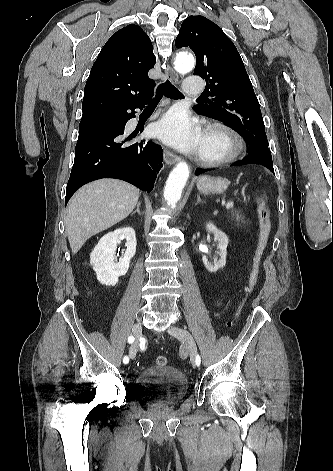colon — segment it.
<instances>
[{
    "instance_id": "obj_1",
    "label": "colon",
    "mask_w": 333,
    "mask_h": 471,
    "mask_svg": "<svg viewBox=\"0 0 333 471\" xmlns=\"http://www.w3.org/2000/svg\"><path fill=\"white\" fill-rule=\"evenodd\" d=\"M257 216L259 221L258 241L252 258V268L249 276L248 286L246 288V294L235 313V318L239 316L244 304L255 290L260 271L261 259L266 249L271 231L270 212L262 198L257 199ZM228 325L231 326L232 322H229ZM155 361L160 366L167 364V358L163 355L157 356Z\"/></svg>"
}]
</instances>
